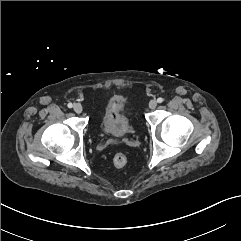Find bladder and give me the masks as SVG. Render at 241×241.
Returning <instances> with one entry per match:
<instances>
[{"label":"bladder","instance_id":"1","mask_svg":"<svg viewBox=\"0 0 241 241\" xmlns=\"http://www.w3.org/2000/svg\"><path fill=\"white\" fill-rule=\"evenodd\" d=\"M100 131L113 138H125L134 133L128 107L121 97H112L99 123Z\"/></svg>","mask_w":241,"mask_h":241}]
</instances>
